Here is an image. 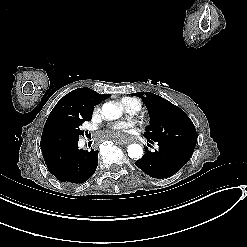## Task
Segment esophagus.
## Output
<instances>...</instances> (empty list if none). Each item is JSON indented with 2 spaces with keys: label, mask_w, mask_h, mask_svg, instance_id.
Here are the masks:
<instances>
[{
  "label": "esophagus",
  "mask_w": 247,
  "mask_h": 247,
  "mask_svg": "<svg viewBox=\"0 0 247 247\" xmlns=\"http://www.w3.org/2000/svg\"><path fill=\"white\" fill-rule=\"evenodd\" d=\"M138 143H139V140L137 138L125 141V144H128V146H133V144L137 145Z\"/></svg>",
  "instance_id": "34e87169"
}]
</instances>
